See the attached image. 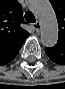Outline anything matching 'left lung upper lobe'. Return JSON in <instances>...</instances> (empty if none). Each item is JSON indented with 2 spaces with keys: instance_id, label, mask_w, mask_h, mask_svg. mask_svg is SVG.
Wrapping results in <instances>:
<instances>
[{
  "instance_id": "obj_1",
  "label": "left lung upper lobe",
  "mask_w": 65,
  "mask_h": 89,
  "mask_svg": "<svg viewBox=\"0 0 65 89\" xmlns=\"http://www.w3.org/2000/svg\"><path fill=\"white\" fill-rule=\"evenodd\" d=\"M50 2L54 8L58 21V40L65 41V0H50Z\"/></svg>"
}]
</instances>
